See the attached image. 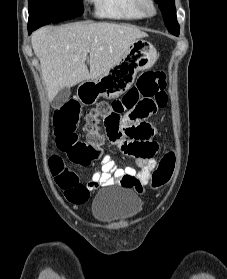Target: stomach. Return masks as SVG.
I'll return each mask as SVG.
<instances>
[{
	"mask_svg": "<svg viewBox=\"0 0 227 279\" xmlns=\"http://www.w3.org/2000/svg\"><path fill=\"white\" fill-rule=\"evenodd\" d=\"M158 59L156 48L143 37L136 39L120 61L96 79L85 80L78 87V98L92 105L99 97L114 99L133 84L138 71L146 70Z\"/></svg>",
	"mask_w": 227,
	"mask_h": 279,
	"instance_id": "0dacf381",
	"label": "stomach"
}]
</instances>
